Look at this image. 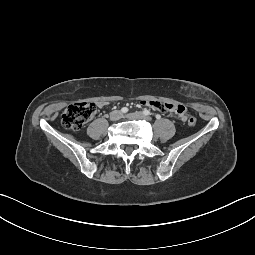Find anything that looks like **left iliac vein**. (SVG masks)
Segmentation results:
<instances>
[{"label":"left iliac vein","instance_id":"obj_1","mask_svg":"<svg viewBox=\"0 0 255 255\" xmlns=\"http://www.w3.org/2000/svg\"><path fill=\"white\" fill-rule=\"evenodd\" d=\"M126 117L128 119L131 120H137V119H145L148 118L144 113L142 112H134V113H129L128 115H126Z\"/></svg>","mask_w":255,"mask_h":255}]
</instances>
